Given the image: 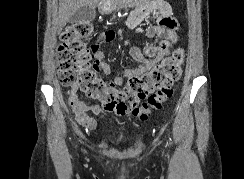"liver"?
Segmentation results:
<instances>
[{
    "label": "liver",
    "instance_id": "1",
    "mask_svg": "<svg viewBox=\"0 0 244 179\" xmlns=\"http://www.w3.org/2000/svg\"><path fill=\"white\" fill-rule=\"evenodd\" d=\"M99 2L103 0H59V16L57 18L59 30L66 26L70 18L74 16L76 10L82 8V6H90V8H95L98 6Z\"/></svg>",
    "mask_w": 244,
    "mask_h": 179
}]
</instances>
